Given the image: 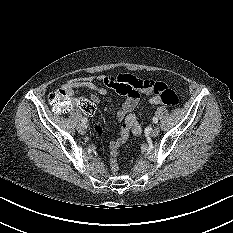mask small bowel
<instances>
[{
	"label": "small bowel",
	"instance_id": "obj_1",
	"mask_svg": "<svg viewBox=\"0 0 233 233\" xmlns=\"http://www.w3.org/2000/svg\"><path fill=\"white\" fill-rule=\"evenodd\" d=\"M98 83H101L102 86H98ZM142 83L143 87L141 88L124 90L120 88V80L118 76L113 77L107 75H97L86 78H71L62 84L61 89H63L71 97L76 94L78 89L88 90L90 92V100L85 98H74L75 104L88 114L94 112L95 105L99 102L98 95H106L108 89L115 90L126 97L121 108L116 114L117 120L122 122V127L119 136L110 142V148L113 152L122 146L131 134L138 136L142 132L141 126L131 112L138 105L141 93L147 95L155 94L151 87V84H153L154 81L142 80ZM156 99L157 95L155 94L150 99V103L155 104ZM87 101L90 104V108L86 110L88 107Z\"/></svg>",
	"mask_w": 233,
	"mask_h": 233
}]
</instances>
